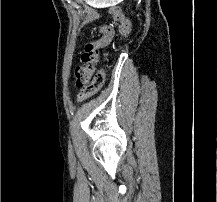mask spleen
<instances>
[{"instance_id":"3e777b00","label":"spleen","mask_w":217,"mask_h":202,"mask_svg":"<svg viewBox=\"0 0 217 202\" xmlns=\"http://www.w3.org/2000/svg\"><path fill=\"white\" fill-rule=\"evenodd\" d=\"M86 5H94V7H109V5H120V0H86Z\"/></svg>"}]
</instances>
